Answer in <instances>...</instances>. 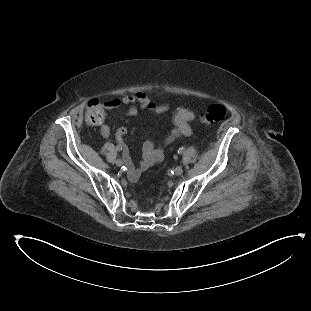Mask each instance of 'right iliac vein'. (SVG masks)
<instances>
[{"label":"right iliac vein","instance_id":"right-iliac-vein-1","mask_svg":"<svg viewBox=\"0 0 311 311\" xmlns=\"http://www.w3.org/2000/svg\"><path fill=\"white\" fill-rule=\"evenodd\" d=\"M115 163H116V165H117L118 167L122 166V164H123V162H122L121 159H117Z\"/></svg>","mask_w":311,"mask_h":311}]
</instances>
